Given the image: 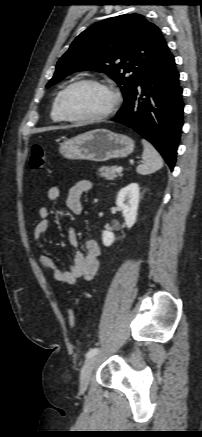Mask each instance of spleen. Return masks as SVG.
Listing matches in <instances>:
<instances>
[{
	"label": "spleen",
	"mask_w": 202,
	"mask_h": 437,
	"mask_svg": "<svg viewBox=\"0 0 202 437\" xmlns=\"http://www.w3.org/2000/svg\"><path fill=\"white\" fill-rule=\"evenodd\" d=\"M142 144L144 147L142 155L143 162L137 166V173L147 175L160 170L163 167V160L158 151L145 139H142Z\"/></svg>",
	"instance_id": "3e777b00"
}]
</instances>
